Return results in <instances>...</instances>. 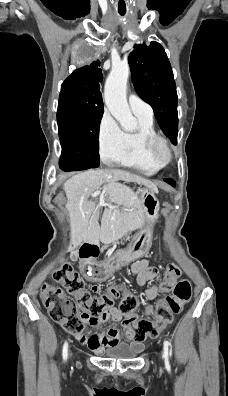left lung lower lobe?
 <instances>
[{
	"label": "left lung lower lobe",
	"mask_w": 228,
	"mask_h": 396,
	"mask_svg": "<svg viewBox=\"0 0 228 396\" xmlns=\"http://www.w3.org/2000/svg\"><path fill=\"white\" fill-rule=\"evenodd\" d=\"M165 182H167L168 184L175 186V182L172 179H164Z\"/></svg>",
	"instance_id": "1"
}]
</instances>
